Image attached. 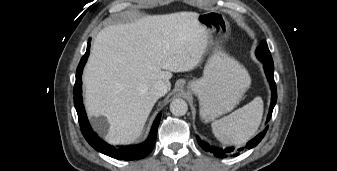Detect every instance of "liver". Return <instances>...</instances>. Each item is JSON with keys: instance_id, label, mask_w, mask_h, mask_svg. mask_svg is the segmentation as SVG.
Returning <instances> with one entry per match:
<instances>
[{"instance_id": "1", "label": "liver", "mask_w": 337, "mask_h": 171, "mask_svg": "<svg viewBox=\"0 0 337 171\" xmlns=\"http://www.w3.org/2000/svg\"><path fill=\"white\" fill-rule=\"evenodd\" d=\"M196 12L148 15L110 25L95 37L83 82L89 115L105 116L110 144L135 142L158 100L151 88L193 70L208 46Z\"/></svg>"}]
</instances>
